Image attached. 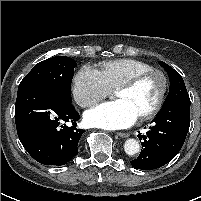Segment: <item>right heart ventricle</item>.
Masks as SVG:
<instances>
[{"label": "right heart ventricle", "mask_w": 201, "mask_h": 201, "mask_svg": "<svg viewBox=\"0 0 201 201\" xmlns=\"http://www.w3.org/2000/svg\"><path fill=\"white\" fill-rule=\"evenodd\" d=\"M151 68L152 66L145 62L122 58L103 62L99 71L108 87L114 89L130 76Z\"/></svg>", "instance_id": "1"}]
</instances>
